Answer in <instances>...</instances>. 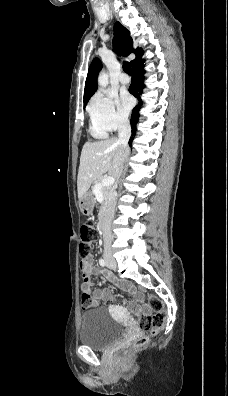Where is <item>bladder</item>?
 I'll list each match as a JSON object with an SVG mask.
<instances>
[{"label": "bladder", "mask_w": 228, "mask_h": 396, "mask_svg": "<svg viewBox=\"0 0 228 396\" xmlns=\"http://www.w3.org/2000/svg\"><path fill=\"white\" fill-rule=\"evenodd\" d=\"M126 330L107 314L106 309H90L81 317L79 340L94 350H104L119 341Z\"/></svg>", "instance_id": "1"}]
</instances>
